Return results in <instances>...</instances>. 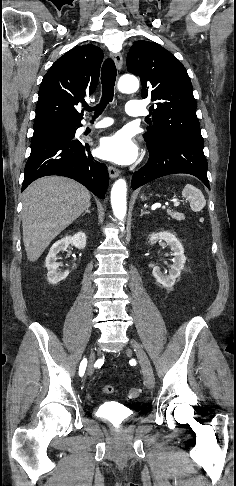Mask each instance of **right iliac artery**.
Segmentation results:
<instances>
[{"label":"right iliac artery","mask_w":236,"mask_h":486,"mask_svg":"<svg viewBox=\"0 0 236 486\" xmlns=\"http://www.w3.org/2000/svg\"><path fill=\"white\" fill-rule=\"evenodd\" d=\"M86 366H87V360L86 359H83L81 361L80 367H79V375L80 376H83L84 375Z\"/></svg>","instance_id":"obj_1"}]
</instances>
